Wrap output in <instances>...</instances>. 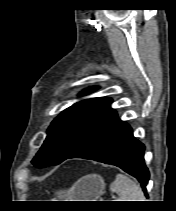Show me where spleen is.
I'll return each mask as SVG.
<instances>
[{"label": "spleen", "instance_id": "obj_1", "mask_svg": "<svg viewBox=\"0 0 176 211\" xmlns=\"http://www.w3.org/2000/svg\"><path fill=\"white\" fill-rule=\"evenodd\" d=\"M110 190L118 194L117 201H146L140 185L124 174L116 175Z\"/></svg>", "mask_w": 176, "mask_h": 211}]
</instances>
